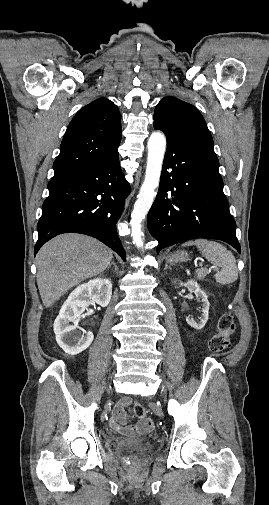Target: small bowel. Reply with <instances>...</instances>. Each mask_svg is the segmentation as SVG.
Instances as JSON below:
<instances>
[{
    "label": "small bowel",
    "mask_w": 269,
    "mask_h": 505,
    "mask_svg": "<svg viewBox=\"0 0 269 505\" xmlns=\"http://www.w3.org/2000/svg\"><path fill=\"white\" fill-rule=\"evenodd\" d=\"M130 404L131 399L129 397L120 399L116 404L110 421L112 429L126 435H142L151 431L154 423L150 418H141L135 426L126 424V408Z\"/></svg>",
    "instance_id": "obj_1"
}]
</instances>
